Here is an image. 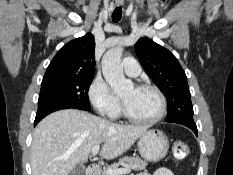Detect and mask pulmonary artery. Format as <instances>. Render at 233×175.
Masks as SVG:
<instances>
[{"label": "pulmonary artery", "mask_w": 233, "mask_h": 175, "mask_svg": "<svg viewBox=\"0 0 233 175\" xmlns=\"http://www.w3.org/2000/svg\"><path fill=\"white\" fill-rule=\"evenodd\" d=\"M123 70L130 77H137L141 72L140 64L134 58H126L123 61Z\"/></svg>", "instance_id": "1"}]
</instances>
